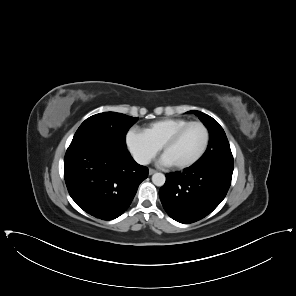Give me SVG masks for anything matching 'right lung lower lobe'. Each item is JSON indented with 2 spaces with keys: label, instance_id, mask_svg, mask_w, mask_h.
<instances>
[{
  "label": "right lung lower lobe",
  "instance_id": "right-lung-lower-lobe-1",
  "mask_svg": "<svg viewBox=\"0 0 296 296\" xmlns=\"http://www.w3.org/2000/svg\"><path fill=\"white\" fill-rule=\"evenodd\" d=\"M148 168L137 164L127 148L101 141L71 143L64 178L75 203L102 220L119 217L131 204Z\"/></svg>",
  "mask_w": 296,
  "mask_h": 296
}]
</instances>
